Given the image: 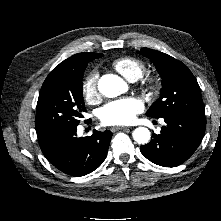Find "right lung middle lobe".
Listing matches in <instances>:
<instances>
[{
	"instance_id": "right-lung-middle-lobe-1",
	"label": "right lung middle lobe",
	"mask_w": 221,
	"mask_h": 221,
	"mask_svg": "<svg viewBox=\"0 0 221 221\" xmlns=\"http://www.w3.org/2000/svg\"><path fill=\"white\" fill-rule=\"evenodd\" d=\"M86 67L76 70L55 68L47 76L36 107L37 136L60 128L78 126L83 112H86L82 96V78Z\"/></svg>"
}]
</instances>
